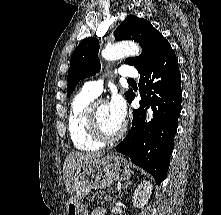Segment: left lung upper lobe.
<instances>
[{
    "mask_svg": "<svg viewBox=\"0 0 221 215\" xmlns=\"http://www.w3.org/2000/svg\"><path fill=\"white\" fill-rule=\"evenodd\" d=\"M115 39L134 40L142 48V54L135 58H127L125 64L134 66L138 72L147 68L156 58L168 41L149 21L129 15L116 29ZM99 41L96 38L84 39L72 53L68 71L67 95L70 96L77 83L86 77L95 75L100 70L98 59ZM133 92L125 93L127 101Z\"/></svg>",
    "mask_w": 221,
    "mask_h": 215,
    "instance_id": "1",
    "label": "left lung upper lobe"
}]
</instances>
